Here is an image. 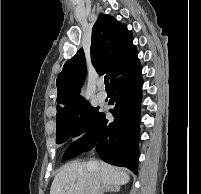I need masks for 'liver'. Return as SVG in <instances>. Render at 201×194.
Wrapping results in <instances>:
<instances>
[{
  "label": "liver",
  "mask_w": 201,
  "mask_h": 194,
  "mask_svg": "<svg viewBox=\"0 0 201 194\" xmlns=\"http://www.w3.org/2000/svg\"><path fill=\"white\" fill-rule=\"evenodd\" d=\"M89 162L73 161L64 165L55 176L50 194H86L91 169ZM99 176L102 185L120 186L129 182L130 177L124 169L98 162Z\"/></svg>",
  "instance_id": "1"
}]
</instances>
